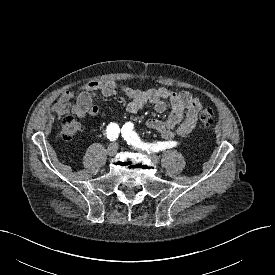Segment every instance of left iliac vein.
<instances>
[{"label": "left iliac vein", "instance_id": "1", "mask_svg": "<svg viewBox=\"0 0 275 275\" xmlns=\"http://www.w3.org/2000/svg\"><path fill=\"white\" fill-rule=\"evenodd\" d=\"M138 151H140L142 154H145L154 164H158L159 163V158L157 155L148 152L144 149H138Z\"/></svg>", "mask_w": 275, "mask_h": 275}]
</instances>
